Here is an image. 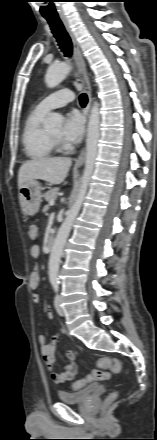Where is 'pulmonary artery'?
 Here are the masks:
<instances>
[{
    "mask_svg": "<svg viewBox=\"0 0 157 440\" xmlns=\"http://www.w3.org/2000/svg\"><path fill=\"white\" fill-rule=\"evenodd\" d=\"M74 100V94L70 90H59L45 97L39 102L37 108L42 112H49L55 108H60Z\"/></svg>",
    "mask_w": 157,
    "mask_h": 440,
    "instance_id": "e3ab8cb5",
    "label": "pulmonary artery"
}]
</instances>
